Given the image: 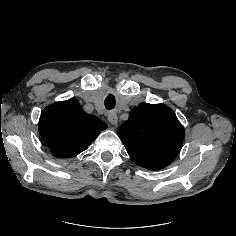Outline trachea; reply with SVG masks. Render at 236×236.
Wrapping results in <instances>:
<instances>
[{
    "label": "trachea",
    "instance_id": "obj_1",
    "mask_svg": "<svg viewBox=\"0 0 236 236\" xmlns=\"http://www.w3.org/2000/svg\"><path fill=\"white\" fill-rule=\"evenodd\" d=\"M104 104L107 109H113L115 107V97L113 95L109 94L106 97Z\"/></svg>",
    "mask_w": 236,
    "mask_h": 236
}]
</instances>
